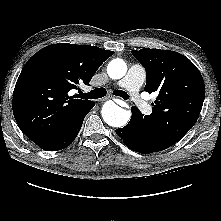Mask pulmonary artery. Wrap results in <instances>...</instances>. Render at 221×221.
Instances as JSON below:
<instances>
[{"mask_svg": "<svg viewBox=\"0 0 221 221\" xmlns=\"http://www.w3.org/2000/svg\"><path fill=\"white\" fill-rule=\"evenodd\" d=\"M146 78L145 69L139 64H133L126 76L118 82V86L125 88L132 101L145 114H150L152 111L151 105L143 100L139 91Z\"/></svg>", "mask_w": 221, "mask_h": 221, "instance_id": "pulmonary-artery-1", "label": "pulmonary artery"}]
</instances>
